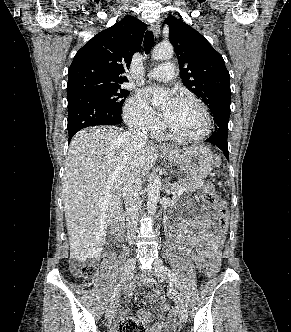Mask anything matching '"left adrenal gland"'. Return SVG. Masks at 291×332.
<instances>
[{
  "label": "left adrenal gland",
  "instance_id": "a2214340",
  "mask_svg": "<svg viewBox=\"0 0 291 332\" xmlns=\"http://www.w3.org/2000/svg\"><path fill=\"white\" fill-rule=\"evenodd\" d=\"M169 186H170V182L167 181L166 184H165V186H164L166 195H170Z\"/></svg>",
  "mask_w": 291,
  "mask_h": 332
}]
</instances>
